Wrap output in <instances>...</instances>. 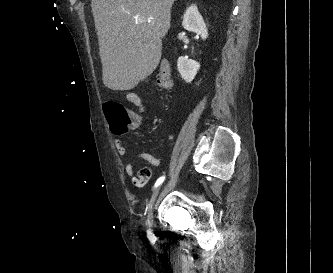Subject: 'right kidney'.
<instances>
[{
	"instance_id": "ca27d5eb",
	"label": "right kidney",
	"mask_w": 333,
	"mask_h": 273,
	"mask_svg": "<svg viewBox=\"0 0 333 273\" xmlns=\"http://www.w3.org/2000/svg\"><path fill=\"white\" fill-rule=\"evenodd\" d=\"M182 25L186 30L200 35L202 39H206L208 36V30L204 20L200 15L197 6L194 4L185 11ZM177 67L183 80L187 83H191L195 78L200 65L198 62L182 56L178 58Z\"/></svg>"
}]
</instances>
